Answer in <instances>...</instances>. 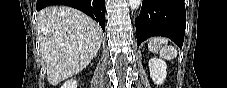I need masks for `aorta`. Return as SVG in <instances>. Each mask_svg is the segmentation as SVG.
Listing matches in <instances>:
<instances>
[{
	"instance_id": "obj_1",
	"label": "aorta",
	"mask_w": 227,
	"mask_h": 88,
	"mask_svg": "<svg viewBox=\"0 0 227 88\" xmlns=\"http://www.w3.org/2000/svg\"><path fill=\"white\" fill-rule=\"evenodd\" d=\"M128 1H129V6L131 7L132 10L138 9L142 3V0H128Z\"/></svg>"
}]
</instances>
